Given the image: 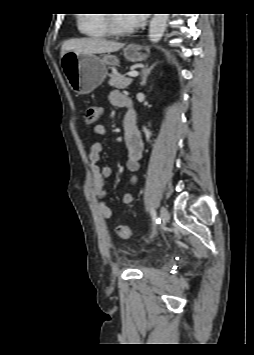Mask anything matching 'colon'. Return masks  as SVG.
Listing matches in <instances>:
<instances>
[{
	"instance_id": "obj_1",
	"label": "colon",
	"mask_w": 254,
	"mask_h": 355,
	"mask_svg": "<svg viewBox=\"0 0 254 355\" xmlns=\"http://www.w3.org/2000/svg\"><path fill=\"white\" fill-rule=\"evenodd\" d=\"M100 113L101 110L98 106H88L84 114L85 124L88 127H95L99 120ZM116 232L117 235L123 239L132 237V229L128 225H118L116 227Z\"/></svg>"
}]
</instances>
